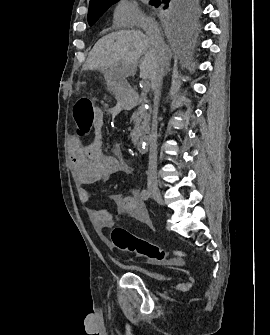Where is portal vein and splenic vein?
Instances as JSON below:
<instances>
[{
	"mask_svg": "<svg viewBox=\"0 0 270 335\" xmlns=\"http://www.w3.org/2000/svg\"><path fill=\"white\" fill-rule=\"evenodd\" d=\"M141 91H142V93H149L150 88H149V86H142Z\"/></svg>",
	"mask_w": 270,
	"mask_h": 335,
	"instance_id": "18ae733b",
	"label": "portal vein and splenic vein"
}]
</instances>
